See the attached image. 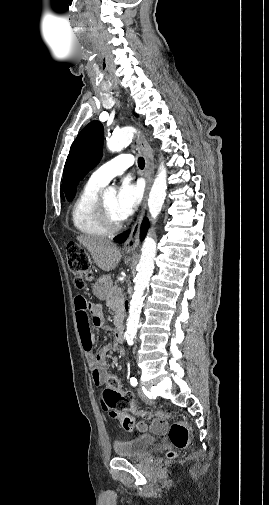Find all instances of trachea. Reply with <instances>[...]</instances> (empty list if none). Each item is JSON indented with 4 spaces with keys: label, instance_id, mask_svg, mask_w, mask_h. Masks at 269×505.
<instances>
[{
    "label": "trachea",
    "instance_id": "trachea-1",
    "mask_svg": "<svg viewBox=\"0 0 269 505\" xmlns=\"http://www.w3.org/2000/svg\"><path fill=\"white\" fill-rule=\"evenodd\" d=\"M138 166H139V168H140V169H143V168H144V166H145V161H144L143 157H139V158H138Z\"/></svg>",
    "mask_w": 269,
    "mask_h": 505
}]
</instances>
